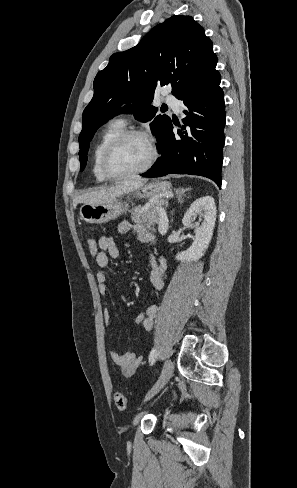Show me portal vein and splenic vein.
Wrapping results in <instances>:
<instances>
[{
    "label": "portal vein and splenic vein",
    "instance_id": "obj_1",
    "mask_svg": "<svg viewBox=\"0 0 297 488\" xmlns=\"http://www.w3.org/2000/svg\"><path fill=\"white\" fill-rule=\"evenodd\" d=\"M156 210L160 217L159 228L161 230L164 227L165 223L167 222V215L165 210L161 206H158Z\"/></svg>",
    "mask_w": 297,
    "mask_h": 488
}]
</instances>
